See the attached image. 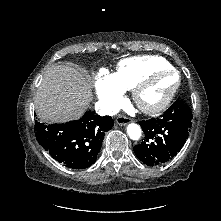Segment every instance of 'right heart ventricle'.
<instances>
[{
    "mask_svg": "<svg viewBox=\"0 0 221 221\" xmlns=\"http://www.w3.org/2000/svg\"><path fill=\"white\" fill-rule=\"evenodd\" d=\"M171 67V64L162 57H131L123 59L118 63L113 76L124 90H133L134 87L151 72Z\"/></svg>",
    "mask_w": 221,
    "mask_h": 221,
    "instance_id": "obj_1",
    "label": "right heart ventricle"
}]
</instances>
